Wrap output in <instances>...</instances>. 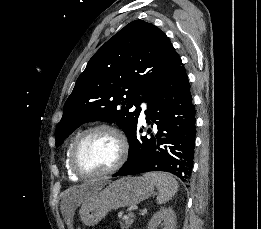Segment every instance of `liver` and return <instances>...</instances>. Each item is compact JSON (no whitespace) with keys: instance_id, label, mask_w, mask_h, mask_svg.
Returning a JSON list of instances; mask_svg holds the SVG:
<instances>
[{"instance_id":"liver-1","label":"liver","mask_w":261,"mask_h":229,"mask_svg":"<svg viewBox=\"0 0 261 229\" xmlns=\"http://www.w3.org/2000/svg\"><path fill=\"white\" fill-rule=\"evenodd\" d=\"M96 189H98V187H90L87 183H84V185H79L74 193L76 205L77 203H84L85 199H88L92 193H95Z\"/></svg>"}]
</instances>
